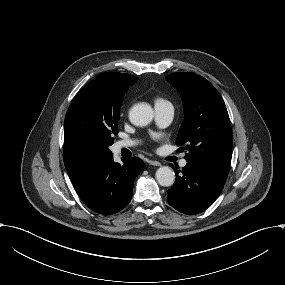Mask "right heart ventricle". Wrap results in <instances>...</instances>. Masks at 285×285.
I'll return each instance as SVG.
<instances>
[{"mask_svg": "<svg viewBox=\"0 0 285 285\" xmlns=\"http://www.w3.org/2000/svg\"><path fill=\"white\" fill-rule=\"evenodd\" d=\"M153 100L155 102V105H161L168 102V100L161 94H154Z\"/></svg>", "mask_w": 285, "mask_h": 285, "instance_id": "right-heart-ventricle-1", "label": "right heart ventricle"}]
</instances>
